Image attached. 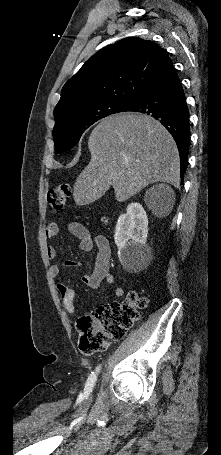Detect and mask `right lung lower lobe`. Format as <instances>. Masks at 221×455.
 I'll list each match as a JSON object with an SVG mask.
<instances>
[{"label":"right lung lower lobe","instance_id":"right-lung-lower-lobe-1","mask_svg":"<svg viewBox=\"0 0 221 455\" xmlns=\"http://www.w3.org/2000/svg\"><path fill=\"white\" fill-rule=\"evenodd\" d=\"M124 111L151 115L170 132L179 151L183 183L190 145L189 110L182 84L170 58Z\"/></svg>","mask_w":221,"mask_h":455}]
</instances>
